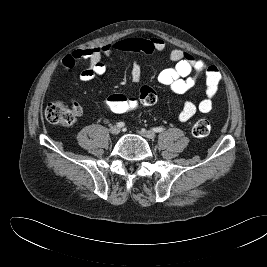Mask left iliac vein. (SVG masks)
Here are the masks:
<instances>
[{"instance_id":"1","label":"left iliac vein","mask_w":267,"mask_h":267,"mask_svg":"<svg viewBox=\"0 0 267 267\" xmlns=\"http://www.w3.org/2000/svg\"><path fill=\"white\" fill-rule=\"evenodd\" d=\"M138 133L148 139H154L156 137V134L153 131L141 129L138 131Z\"/></svg>"}]
</instances>
